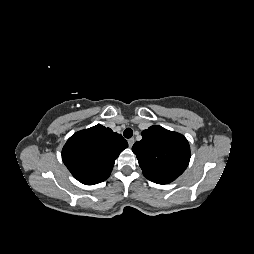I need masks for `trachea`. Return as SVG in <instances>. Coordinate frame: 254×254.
<instances>
[{"instance_id": "trachea-1", "label": "trachea", "mask_w": 254, "mask_h": 254, "mask_svg": "<svg viewBox=\"0 0 254 254\" xmlns=\"http://www.w3.org/2000/svg\"><path fill=\"white\" fill-rule=\"evenodd\" d=\"M125 138H131L133 136V131L130 128H126L123 132Z\"/></svg>"}]
</instances>
